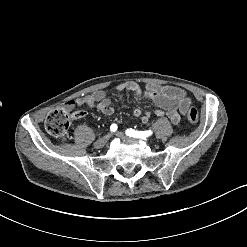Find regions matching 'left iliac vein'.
I'll use <instances>...</instances> for the list:
<instances>
[{"instance_id": "4c4485c4", "label": "left iliac vein", "mask_w": 247, "mask_h": 247, "mask_svg": "<svg viewBox=\"0 0 247 247\" xmlns=\"http://www.w3.org/2000/svg\"><path fill=\"white\" fill-rule=\"evenodd\" d=\"M115 136H118V137H120L121 139L126 140V141H138V140L135 139V138L127 137V136H126L124 133H122V132H116V133H115Z\"/></svg>"}]
</instances>
